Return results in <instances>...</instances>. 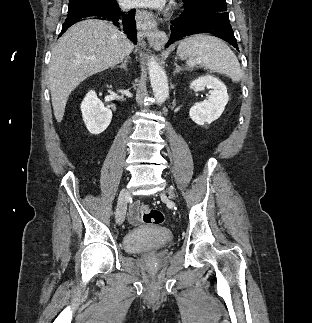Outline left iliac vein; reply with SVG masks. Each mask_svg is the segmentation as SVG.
Instances as JSON below:
<instances>
[{
	"instance_id": "4c4485c4",
	"label": "left iliac vein",
	"mask_w": 312,
	"mask_h": 323,
	"mask_svg": "<svg viewBox=\"0 0 312 323\" xmlns=\"http://www.w3.org/2000/svg\"><path fill=\"white\" fill-rule=\"evenodd\" d=\"M167 192L169 193V195H170L171 197H174V194H173L172 189L168 188Z\"/></svg>"
}]
</instances>
